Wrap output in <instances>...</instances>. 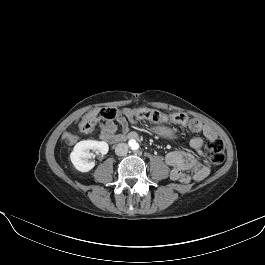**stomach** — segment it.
Masks as SVG:
<instances>
[{"mask_svg": "<svg viewBox=\"0 0 265 265\" xmlns=\"http://www.w3.org/2000/svg\"><path fill=\"white\" fill-rule=\"evenodd\" d=\"M153 132L161 138L173 140L176 138L175 132L165 126H157L153 128Z\"/></svg>", "mask_w": 265, "mask_h": 265, "instance_id": "0dacf381", "label": "stomach"}]
</instances>
